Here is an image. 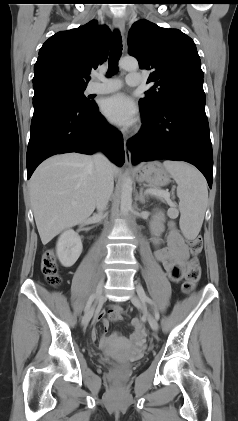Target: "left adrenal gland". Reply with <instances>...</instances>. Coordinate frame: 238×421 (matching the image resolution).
<instances>
[{
	"instance_id": "left-adrenal-gland-1",
	"label": "left adrenal gland",
	"mask_w": 238,
	"mask_h": 421,
	"mask_svg": "<svg viewBox=\"0 0 238 421\" xmlns=\"http://www.w3.org/2000/svg\"><path fill=\"white\" fill-rule=\"evenodd\" d=\"M139 201L142 203V204H145V202H146V199H147V195H146V193L144 192V189H143V187H141L140 188V193H139Z\"/></svg>"
}]
</instances>
